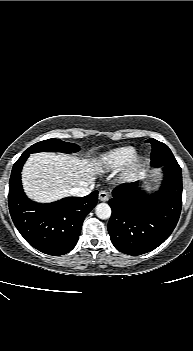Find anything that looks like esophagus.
Listing matches in <instances>:
<instances>
[{"instance_id":"34e87169","label":"esophagus","mask_w":193,"mask_h":351,"mask_svg":"<svg viewBox=\"0 0 193 351\" xmlns=\"http://www.w3.org/2000/svg\"><path fill=\"white\" fill-rule=\"evenodd\" d=\"M109 199V194L108 192L102 190L99 192V200L100 201H107Z\"/></svg>"}]
</instances>
